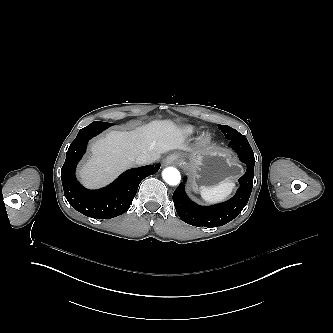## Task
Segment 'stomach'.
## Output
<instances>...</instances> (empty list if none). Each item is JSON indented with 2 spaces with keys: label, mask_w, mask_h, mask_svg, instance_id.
I'll return each mask as SVG.
<instances>
[{
  "label": "stomach",
  "mask_w": 333,
  "mask_h": 333,
  "mask_svg": "<svg viewBox=\"0 0 333 333\" xmlns=\"http://www.w3.org/2000/svg\"><path fill=\"white\" fill-rule=\"evenodd\" d=\"M189 168L193 175L192 188L195 191H201L222 180L231 181L241 174L240 165L224 150L195 152Z\"/></svg>",
  "instance_id": "obj_1"
}]
</instances>
